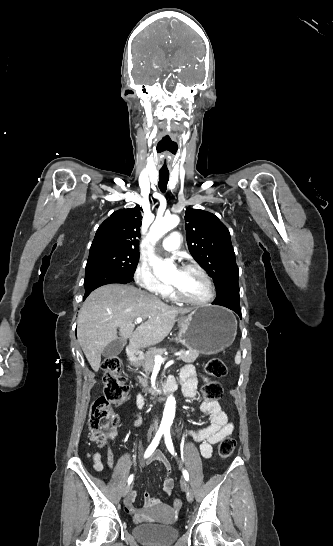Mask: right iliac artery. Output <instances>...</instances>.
<instances>
[{"instance_id": "1", "label": "right iliac artery", "mask_w": 333, "mask_h": 546, "mask_svg": "<svg viewBox=\"0 0 333 546\" xmlns=\"http://www.w3.org/2000/svg\"><path fill=\"white\" fill-rule=\"evenodd\" d=\"M164 433V430L162 429H159L158 432L156 433L154 439L152 440L151 444L148 446L145 454H144V458H148L153 452L154 450L156 449V447L158 446L159 444V441L162 437ZM133 475H130L129 478H128V484L130 485L133 481Z\"/></svg>"}]
</instances>
